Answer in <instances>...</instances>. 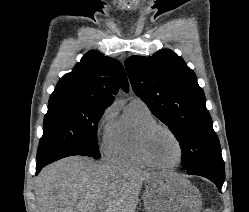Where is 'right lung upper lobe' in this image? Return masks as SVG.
Masks as SVG:
<instances>
[{
	"mask_svg": "<svg viewBox=\"0 0 249 212\" xmlns=\"http://www.w3.org/2000/svg\"><path fill=\"white\" fill-rule=\"evenodd\" d=\"M119 86L128 91L127 77L121 63L91 50L71 73L59 80L49 100L75 99L108 107Z\"/></svg>",
	"mask_w": 249,
	"mask_h": 212,
	"instance_id": "cb5924a9",
	"label": "right lung upper lobe"
}]
</instances>
